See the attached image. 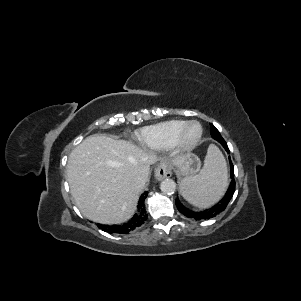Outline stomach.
<instances>
[{"mask_svg":"<svg viewBox=\"0 0 301 301\" xmlns=\"http://www.w3.org/2000/svg\"><path fill=\"white\" fill-rule=\"evenodd\" d=\"M170 166L175 167L182 176L196 174L201 166L200 159L193 153H186L177 156L170 162Z\"/></svg>","mask_w":301,"mask_h":301,"instance_id":"obj_1","label":"stomach"}]
</instances>
